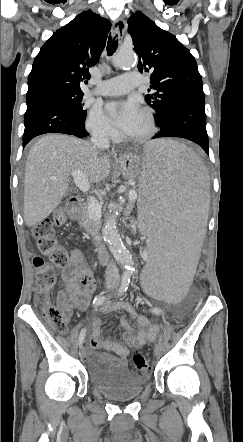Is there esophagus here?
Returning a JSON list of instances; mask_svg holds the SVG:
<instances>
[{"mask_svg":"<svg viewBox=\"0 0 243 442\" xmlns=\"http://www.w3.org/2000/svg\"><path fill=\"white\" fill-rule=\"evenodd\" d=\"M124 30H125V21L122 18L115 20L113 23L114 35L117 36L121 40V39H123V36H124ZM118 159L122 160L123 156L119 155Z\"/></svg>","mask_w":243,"mask_h":442,"instance_id":"obj_1","label":"esophagus"}]
</instances>
